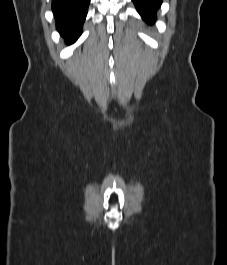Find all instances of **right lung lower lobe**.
<instances>
[{
	"label": "right lung lower lobe",
	"mask_w": 227,
	"mask_h": 265,
	"mask_svg": "<svg viewBox=\"0 0 227 265\" xmlns=\"http://www.w3.org/2000/svg\"><path fill=\"white\" fill-rule=\"evenodd\" d=\"M90 0H52L56 27L67 44L75 42L82 32Z\"/></svg>",
	"instance_id": "right-lung-lower-lobe-1"
}]
</instances>
